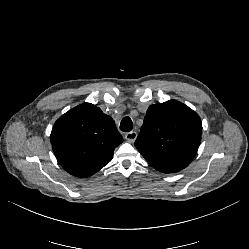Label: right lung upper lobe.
Wrapping results in <instances>:
<instances>
[{"instance_id":"1","label":"right lung upper lobe","mask_w":249,"mask_h":249,"mask_svg":"<svg viewBox=\"0 0 249 249\" xmlns=\"http://www.w3.org/2000/svg\"><path fill=\"white\" fill-rule=\"evenodd\" d=\"M50 140L64 170L85 178L111 161L123 137L110 116L91 103H83L56 121Z\"/></svg>"}]
</instances>
